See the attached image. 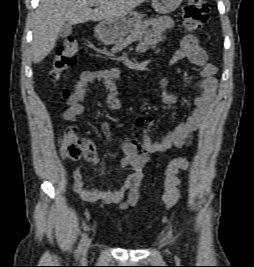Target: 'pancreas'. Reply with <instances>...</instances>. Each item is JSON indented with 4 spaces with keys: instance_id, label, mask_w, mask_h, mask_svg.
I'll return each mask as SVG.
<instances>
[{
    "instance_id": "obj_1",
    "label": "pancreas",
    "mask_w": 254,
    "mask_h": 267,
    "mask_svg": "<svg viewBox=\"0 0 254 267\" xmlns=\"http://www.w3.org/2000/svg\"><path fill=\"white\" fill-rule=\"evenodd\" d=\"M145 32H146V24L142 23L139 24L125 40L116 41L111 51L113 53L121 51L124 47H126L133 41L142 39Z\"/></svg>"
}]
</instances>
